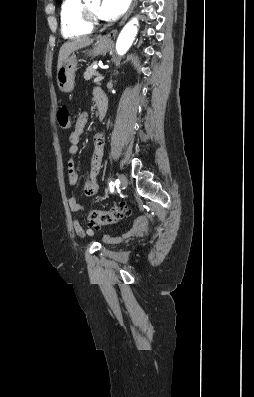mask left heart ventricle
<instances>
[{
  "instance_id": "left-heart-ventricle-1",
  "label": "left heart ventricle",
  "mask_w": 254,
  "mask_h": 397,
  "mask_svg": "<svg viewBox=\"0 0 254 397\" xmlns=\"http://www.w3.org/2000/svg\"><path fill=\"white\" fill-rule=\"evenodd\" d=\"M88 6L96 14L100 15V13H99L100 3L99 2H93V3L89 4Z\"/></svg>"
}]
</instances>
